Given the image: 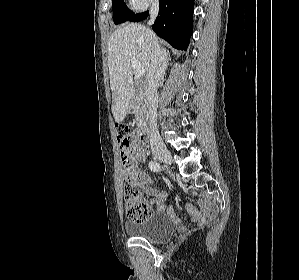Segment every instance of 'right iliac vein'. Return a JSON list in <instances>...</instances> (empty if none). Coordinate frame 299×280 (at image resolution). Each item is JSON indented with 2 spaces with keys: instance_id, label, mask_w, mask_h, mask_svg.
Instances as JSON below:
<instances>
[{
  "instance_id": "obj_1",
  "label": "right iliac vein",
  "mask_w": 299,
  "mask_h": 280,
  "mask_svg": "<svg viewBox=\"0 0 299 280\" xmlns=\"http://www.w3.org/2000/svg\"><path fill=\"white\" fill-rule=\"evenodd\" d=\"M154 155L164 163L170 164L172 162V155L165 147H159L154 150Z\"/></svg>"
}]
</instances>
